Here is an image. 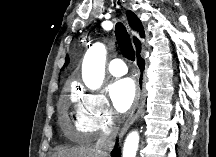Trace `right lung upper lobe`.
<instances>
[{
	"label": "right lung upper lobe",
	"mask_w": 216,
	"mask_h": 157,
	"mask_svg": "<svg viewBox=\"0 0 216 157\" xmlns=\"http://www.w3.org/2000/svg\"><path fill=\"white\" fill-rule=\"evenodd\" d=\"M127 17H128L130 27L136 30L137 32H139V35L141 37H144V29L138 17L130 10L127 11ZM67 63H68V57L66 58V63L64 66H66Z\"/></svg>",
	"instance_id": "obj_1"
}]
</instances>
